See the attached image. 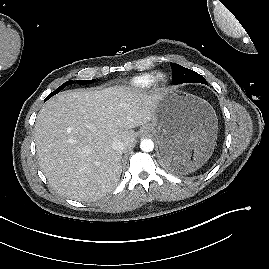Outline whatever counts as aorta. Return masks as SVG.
Listing matches in <instances>:
<instances>
[{
    "label": "aorta",
    "instance_id": "1",
    "mask_svg": "<svg viewBox=\"0 0 269 269\" xmlns=\"http://www.w3.org/2000/svg\"><path fill=\"white\" fill-rule=\"evenodd\" d=\"M140 148L144 152H151L154 149V143L151 139H143L140 142Z\"/></svg>",
    "mask_w": 269,
    "mask_h": 269
}]
</instances>
